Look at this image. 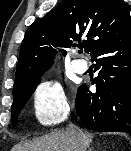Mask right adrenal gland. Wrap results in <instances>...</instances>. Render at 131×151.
Returning a JSON list of instances; mask_svg holds the SVG:
<instances>
[{
	"instance_id": "1",
	"label": "right adrenal gland",
	"mask_w": 131,
	"mask_h": 151,
	"mask_svg": "<svg viewBox=\"0 0 131 151\" xmlns=\"http://www.w3.org/2000/svg\"><path fill=\"white\" fill-rule=\"evenodd\" d=\"M89 151H94V148H93V147H92V148H90V149H89Z\"/></svg>"
}]
</instances>
